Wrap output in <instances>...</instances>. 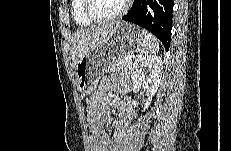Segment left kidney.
<instances>
[{"label":"left kidney","mask_w":231,"mask_h":151,"mask_svg":"<svg viewBox=\"0 0 231 151\" xmlns=\"http://www.w3.org/2000/svg\"><path fill=\"white\" fill-rule=\"evenodd\" d=\"M163 62L156 55H140L135 60L131 68V79L135 85H143L147 91V101L144 110L147 109L152 101V97L157 92L161 81Z\"/></svg>","instance_id":"obj_1"}]
</instances>
